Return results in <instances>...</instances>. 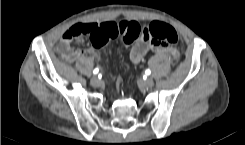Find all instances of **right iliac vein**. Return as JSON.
<instances>
[{
  "label": "right iliac vein",
  "mask_w": 245,
  "mask_h": 145,
  "mask_svg": "<svg viewBox=\"0 0 245 145\" xmlns=\"http://www.w3.org/2000/svg\"><path fill=\"white\" fill-rule=\"evenodd\" d=\"M91 84L93 85V86H100V84H101V81H100V79L99 78H97V77H93V78H91Z\"/></svg>",
  "instance_id": "obj_1"
}]
</instances>
